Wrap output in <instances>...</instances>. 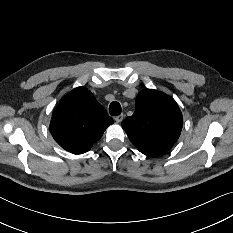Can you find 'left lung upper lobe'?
I'll list each match as a JSON object with an SVG mask.
<instances>
[{
    "mask_svg": "<svg viewBox=\"0 0 233 233\" xmlns=\"http://www.w3.org/2000/svg\"><path fill=\"white\" fill-rule=\"evenodd\" d=\"M182 125L177 103L156 90H142L137 95L134 114L122 122L130 141L150 157L171 149L180 136Z\"/></svg>",
    "mask_w": 233,
    "mask_h": 233,
    "instance_id": "obj_1",
    "label": "left lung upper lobe"
}]
</instances>
